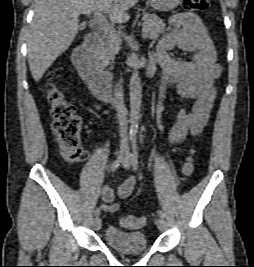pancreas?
Here are the masks:
<instances>
[{
    "instance_id": "cf45deb5",
    "label": "pancreas",
    "mask_w": 254,
    "mask_h": 267,
    "mask_svg": "<svg viewBox=\"0 0 254 267\" xmlns=\"http://www.w3.org/2000/svg\"><path fill=\"white\" fill-rule=\"evenodd\" d=\"M143 31L149 39H157L167 29L165 23L156 14H146L143 18ZM119 40L107 37L96 52V59L102 66H107L113 60L120 47Z\"/></svg>"
}]
</instances>
